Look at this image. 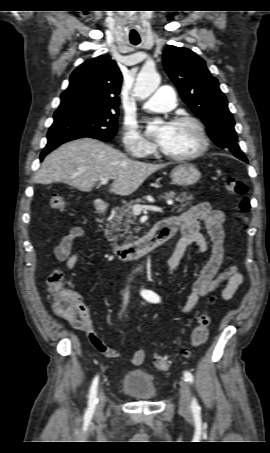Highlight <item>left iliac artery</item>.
<instances>
[{
	"label": "left iliac artery",
	"mask_w": 270,
	"mask_h": 453,
	"mask_svg": "<svg viewBox=\"0 0 270 453\" xmlns=\"http://www.w3.org/2000/svg\"><path fill=\"white\" fill-rule=\"evenodd\" d=\"M141 295L143 298H145L149 302H153V303L160 302V297L153 291L142 290ZM184 378L189 383L193 382V375L189 371L184 372ZM192 409H193V411H200V407L195 398L192 399Z\"/></svg>",
	"instance_id": "44dca946"
}]
</instances>
